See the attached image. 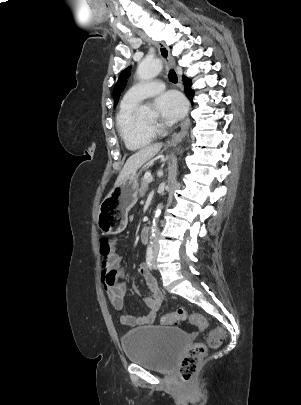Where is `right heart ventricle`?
Masks as SVG:
<instances>
[{"label":"right heart ventricle","instance_id":"e07e8e85","mask_svg":"<svg viewBox=\"0 0 301 405\" xmlns=\"http://www.w3.org/2000/svg\"><path fill=\"white\" fill-rule=\"evenodd\" d=\"M136 103L122 101L116 115L117 131L127 149L139 150L149 145L154 139V133L145 130L136 116Z\"/></svg>","mask_w":301,"mask_h":405}]
</instances>
